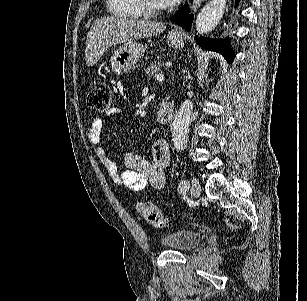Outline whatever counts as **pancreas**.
Returning a JSON list of instances; mask_svg holds the SVG:
<instances>
[{
    "label": "pancreas",
    "instance_id": "obj_1",
    "mask_svg": "<svg viewBox=\"0 0 307 301\" xmlns=\"http://www.w3.org/2000/svg\"><path fill=\"white\" fill-rule=\"evenodd\" d=\"M165 66L164 62H150L147 68H144L146 76H156V74H161L162 68Z\"/></svg>",
    "mask_w": 307,
    "mask_h": 301
}]
</instances>
